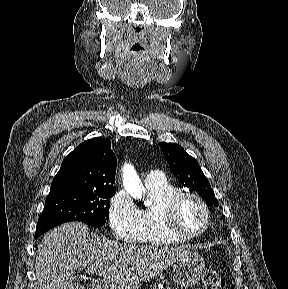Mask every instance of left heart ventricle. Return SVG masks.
Masks as SVG:
<instances>
[{"label":"left heart ventricle","mask_w":288,"mask_h":289,"mask_svg":"<svg viewBox=\"0 0 288 289\" xmlns=\"http://www.w3.org/2000/svg\"><path fill=\"white\" fill-rule=\"evenodd\" d=\"M176 220L183 231L195 233L204 227L205 214L196 200L184 199L177 207Z\"/></svg>","instance_id":"b2bd125f"}]
</instances>
